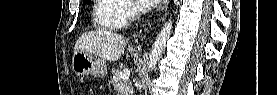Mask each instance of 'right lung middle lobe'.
Returning <instances> with one entry per match:
<instances>
[{
  "instance_id": "right-lung-middle-lobe-1",
  "label": "right lung middle lobe",
  "mask_w": 277,
  "mask_h": 95,
  "mask_svg": "<svg viewBox=\"0 0 277 95\" xmlns=\"http://www.w3.org/2000/svg\"><path fill=\"white\" fill-rule=\"evenodd\" d=\"M84 3H87V4H88V3H90V0H86V1H84Z\"/></svg>"
}]
</instances>
